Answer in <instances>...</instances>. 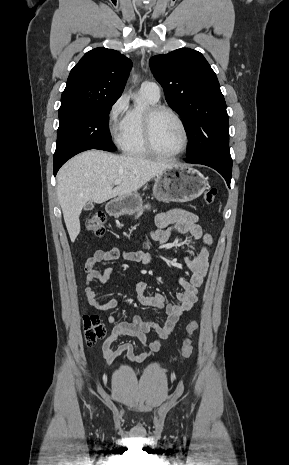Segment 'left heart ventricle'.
<instances>
[{
	"label": "left heart ventricle",
	"mask_w": 289,
	"mask_h": 465,
	"mask_svg": "<svg viewBox=\"0 0 289 465\" xmlns=\"http://www.w3.org/2000/svg\"><path fill=\"white\" fill-rule=\"evenodd\" d=\"M154 142L157 149L165 154L179 151L184 135L177 120L168 113L159 114L154 121Z\"/></svg>",
	"instance_id": "obj_1"
}]
</instances>
